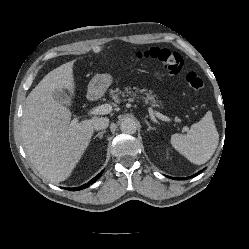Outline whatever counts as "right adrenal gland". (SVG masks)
Wrapping results in <instances>:
<instances>
[{
  "label": "right adrenal gland",
  "mask_w": 249,
  "mask_h": 249,
  "mask_svg": "<svg viewBox=\"0 0 249 249\" xmlns=\"http://www.w3.org/2000/svg\"><path fill=\"white\" fill-rule=\"evenodd\" d=\"M105 132H106L105 130L99 132L97 135L94 136V139L97 138V137L102 138V137H103V134H104Z\"/></svg>",
  "instance_id": "2a0ac1e0"
}]
</instances>
